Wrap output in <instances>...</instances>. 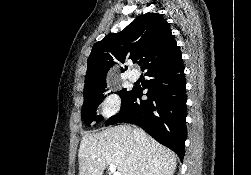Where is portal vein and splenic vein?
I'll return each instance as SVG.
<instances>
[{
	"label": "portal vein and splenic vein",
	"mask_w": 251,
	"mask_h": 175,
	"mask_svg": "<svg viewBox=\"0 0 251 175\" xmlns=\"http://www.w3.org/2000/svg\"><path fill=\"white\" fill-rule=\"evenodd\" d=\"M109 169L112 175H122L121 171H116V165H114V163H110Z\"/></svg>",
	"instance_id": "1"
}]
</instances>
